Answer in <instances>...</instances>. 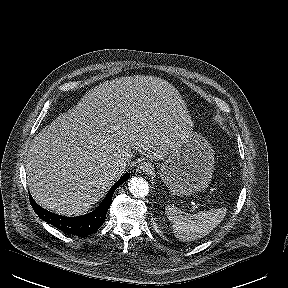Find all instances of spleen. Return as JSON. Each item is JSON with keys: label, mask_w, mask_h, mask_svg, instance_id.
<instances>
[{"label": "spleen", "mask_w": 288, "mask_h": 288, "mask_svg": "<svg viewBox=\"0 0 288 288\" xmlns=\"http://www.w3.org/2000/svg\"><path fill=\"white\" fill-rule=\"evenodd\" d=\"M165 212L172 222L173 232L181 241H194L208 235L226 215V208L188 214L168 205Z\"/></svg>", "instance_id": "1"}]
</instances>
